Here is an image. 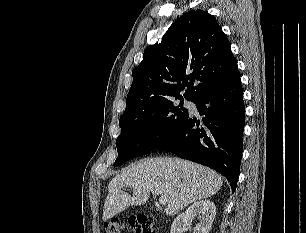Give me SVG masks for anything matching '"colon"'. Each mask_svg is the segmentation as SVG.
<instances>
[{"label": "colon", "instance_id": "5ec220e1", "mask_svg": "<svg viewBox=\"0 0 306 233\" xmlns=\"http://www.w3.org/2000/svg\"><path fill=\"white\" fill-rule=\"evenodd\" d=\"M125 230L133 233H155L153 220L144 215L130 217L127 222L113 219L103 227V233H122Z\"/></svg>", "mask_w": 306, "mask_h": 233}]
</instances>
